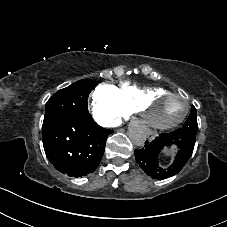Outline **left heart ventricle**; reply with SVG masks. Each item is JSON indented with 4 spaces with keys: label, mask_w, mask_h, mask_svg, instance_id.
I'll use <instances>...</instances> for the list:
<instances>
[{
    "label": "left heart ventricle",
    "mask_w": 227,
    "mask_h": 227,
    "mask_svg": "<svg viewBox=\"0 0 227 227\" xmlns=\"http://www.w3.org/2000/svg\"><path fill=\"white\" fill-rule=\"evenodd\" d=\"M185 100L182 97H163L148 109L151 120L158 124H169L184 112Z\"/></svg>",
    "instance_id": "1"
}]
</instances>
